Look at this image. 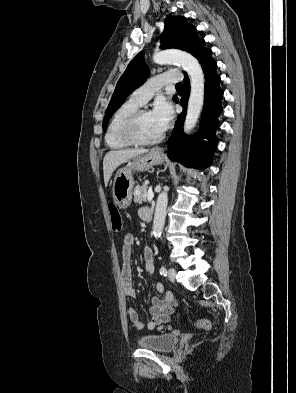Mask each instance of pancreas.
Wrapping results in <instances>:
<instances>
[{"instance_id":"cf45deb5","label":"pancreas","mask_w":296,"mask_h":393,"mask_svg":"<svg viewBox=\"0 0 296 393\" xmlns=\"http://www.w3.org/2000/svg\"><path fill=\"white\" fill-rule=\"evenodd\" d=\"M147 184L143 183L142 186L137 185L134 189L133 195H134V202L138 204H142L143 202L146 201L147 198Z\"/></svg>"}]
</instances>
